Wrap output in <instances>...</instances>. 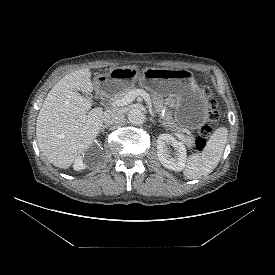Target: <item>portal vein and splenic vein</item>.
I'll list each match as a JSON object with an SVG mask.
<instances>
[{
  "instance_id": "obj_1",
  "label": "portal vein and splenic vein",
  "mask_w": 275,
  "mask_h": 275,
  "mask_svg": "<svg viewBox=\"0 0 275 275\" xmlns=\"http://www.w3.org/2000/svg\"><path fill=\"white\" fill-rule=\"evenodd\" d=\"M137 96L143 97V99L147 102L149 108L152 109V102H151L150 96L143 89H133V90L129 91L124 97H122L119 100L114 101L112 103V106L113 107L125 106V105L131 103ZM175 135L178 138H180L182 141H185V139L181 135H179V134H175Z\"/></svg>"
}]
</instances>
